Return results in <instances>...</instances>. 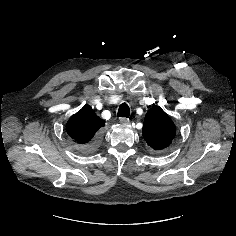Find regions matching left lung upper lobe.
<instances>
[{"label": "left lung upper lobe", "instance_id": "obj_1", "mask_svg": "<svg viewBox=\"0 0 236 236\" xmlns=\"http://www.w3.org/2000/svg\"><path fill=\"white\" fill-rule=\"evenodd\" d=\"M175 125L157 105L151 107L144 118L143 137L154 150L167 148L175 138Z\"/></svg>", "mask_w": 236, "mask_h": 236}]
</instances>
